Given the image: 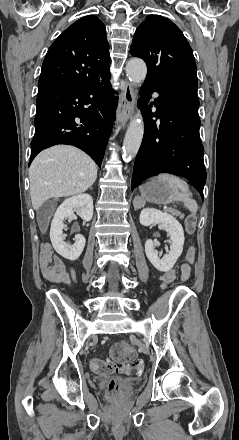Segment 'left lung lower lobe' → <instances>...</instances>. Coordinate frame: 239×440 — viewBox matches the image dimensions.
<instances>
[{"label":"left lung lower lobe","mask_w":239,"mask_h":440,"mask_svg":"<svg viewBox=\"0 0 239 440\" xmlns=\"http://www.w3.org/2000/svg\"><path fill=\"white\" fill-rule=\"evenodd\" d=\"M152 92H158L159 97L148 106ZM140 94L139 106L145 130L134 163L132 188L147 177L171 173L191 181L203 198L206 170L199 136L197 85L145 80ZM153 104L155 113L151 110ZM153 117L159 118L160 122Z\"/></svg>","instance_id":"1"}]
</instances>
